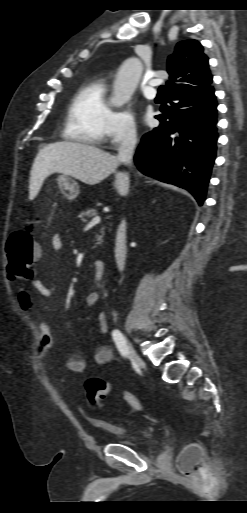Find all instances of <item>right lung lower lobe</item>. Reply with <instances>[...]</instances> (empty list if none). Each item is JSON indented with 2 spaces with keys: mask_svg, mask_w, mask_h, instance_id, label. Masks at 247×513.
<instances>
[{
  "mask_svg": "<svg viewBox=\"0 0 247 513\" xmlns=\"http://www.w3.org/2000/svg\"><path fill=\"white\" fill-rule=\"evenodd\" d=\"M164 99L160 125L143 136L135 163L142 173L187 189L202 205L218 137L214 88Z\"/></svg>",
  "mask_w": 247,
  "mask_h": 513,
  "instance_id": "obj_1",
  "label": "right lung lower lobe"
}]
</instances>
